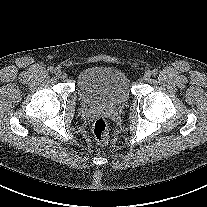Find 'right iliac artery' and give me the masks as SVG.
<instances>
[{
    "mask_svg": "<svg viewBox=\"0 0 207 207\" xmlns=\"http://www.w3.org/2000/svg\"><path fill=\"white\" fill-rule=\"evenodd\" d=\"M48 70H49L50 72H53V71H54V68H53L52 66H50V67L48 68Z\"/></svg>",
    "mask_w": 207,
    "mask_h": 207,
    "instance_id": "82829eb1",
    "label": "right iliac artery"
}]
</instances>
